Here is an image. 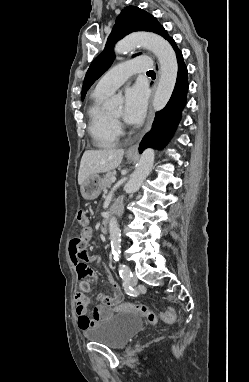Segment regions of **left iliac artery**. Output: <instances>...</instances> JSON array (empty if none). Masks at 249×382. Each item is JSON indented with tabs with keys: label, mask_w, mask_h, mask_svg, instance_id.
Returning a JSON list of instances; mask_svg holds the SVG:
<instances>
[{
	"label": "left iliac artery",
	"mask_w": 249,
	"mask_h": 382,
	"mask_svg": "<svg viewBox=\"0 0 249 382\" xmlns=\"http://www.w3.org/2000/svg\"><path fill=\"white\" fill-rule=\"evenodd\" d=\"M119 253H120V251L119 252H113V255H114V259L116 260V261H118L119 260ZM121 267H120V271H119V273H120V277L124 280V281H126V280H128V279H130L131 277H132V272H131V270H130V268L127 266V265H120Z\"/></svg>",
	"instance_id": "44dca946"
}]
</instances>
